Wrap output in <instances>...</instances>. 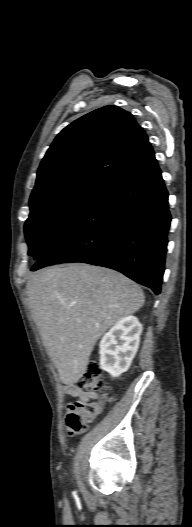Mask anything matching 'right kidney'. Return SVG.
<instances>
[{
    "label": "right kidney",
    "mask_w": 192,
    "mask_h": 527,
    "mask_svg": "<svg viewBox=\"0 0 192 527\" xmlns=\"http://www.w3.org/2000/svg\"><path fill=\"white\" fill-rule=\"evenodd\" d=\"M141 332L136 317L119 320L100 341V367L113 377L126 372L138 350Z\"/></svg>",
    "instance_id": "obj_1"
}]
</instances>
